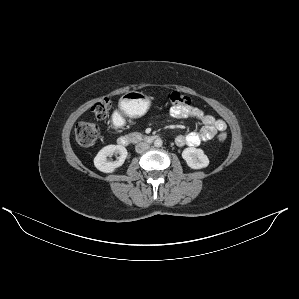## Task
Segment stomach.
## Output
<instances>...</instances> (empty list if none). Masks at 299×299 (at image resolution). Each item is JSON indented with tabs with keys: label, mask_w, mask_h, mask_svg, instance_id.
I'll list each match as a JSON object with an SVG mask.
<instances>
[{
	"label": "stomach",
	"mask_w": 299,
	"mask_h": 299,
	"mask_svg": "<svg viewBox=\"0 0 299 299\" xmlns=\"http://www.w3.org/2000/svg\"><path fill=\"white\" fill-rule=\"evenodd\" d=\"M150 97L142 92H126L119 100L120 110L129 117H141L150 108Z\"/></svg>",
	"instance_id": "0dacf381"
}]
</instances>
